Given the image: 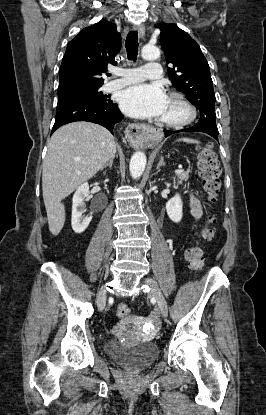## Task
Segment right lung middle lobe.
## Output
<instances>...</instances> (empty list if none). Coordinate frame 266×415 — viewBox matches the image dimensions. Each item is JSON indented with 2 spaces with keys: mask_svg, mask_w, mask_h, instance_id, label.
I'll return each instance as SVG.
<instances>
[{
  "mask_svg": "<svg viewBox=\"0 0 266 415\" xmlns=\"http://www.w3.org/2000/svg\"><path fill=\"white\" fill-rule=\"evenodd\" d=\"M100 87H90L76 89L64 93H58V102L66 101H88L95 103H107L109 100L106 95L100 91Z\"/></svg>",
  "mask_w": 266,
  "mask_h": 415,
  "instance_id": "dd1d6c3e",
  "label": "right lung middle lobe"
}]
</instances>
